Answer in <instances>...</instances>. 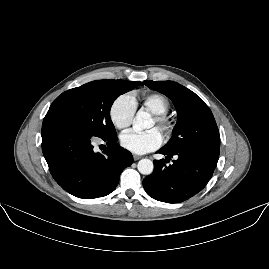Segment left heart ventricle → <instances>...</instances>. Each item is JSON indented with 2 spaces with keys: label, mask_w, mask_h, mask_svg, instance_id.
Returning a JSON list of instances; mask_svg holds the SVG:
<instances>
[{
  "label": "left heart ventricle",
  "mask_w": 269,
  "mask_h": 269,
  "mask_svg": "<svg viewBox=\"0 0 269 269\" xmlns=\"http://www.w3.org/2000/svg\"><path fill=\"white\" fill-rule=\"evenodd\" d=\"M149 129H151V130L156 129V130H158L160 132L161 135H163V132L159 128V125H158L157 121L155 120V118H153V121L151 122V124L149 126Z\"/></svg>",
  "instance_id": "obj_1"
}]
</instances>
